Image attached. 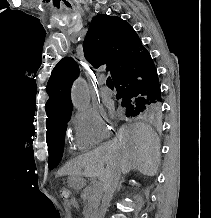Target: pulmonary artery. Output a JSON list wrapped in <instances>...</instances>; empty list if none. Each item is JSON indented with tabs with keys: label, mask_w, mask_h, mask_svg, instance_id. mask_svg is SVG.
I'll use <instances>...</instances> for the list:
<instances>
[{
	"label": "pulmonary artery",
	"mask_w": 211,
	"mask_h": 218,
	"mask_svg": "<svg viewBox=\"0 0 211 218\" xmlns=\"http://www.w3.org/2000/svg\"><path fill=\"white\" fill-rule=\"evenodd\" d=\"M100 83L102 85L101 89H100V95L103 98H110L113 96V91L106 85V79L105 78H101L100 79Z\"/></svg>",
	"instance_id": "1"
}]
</instances>
